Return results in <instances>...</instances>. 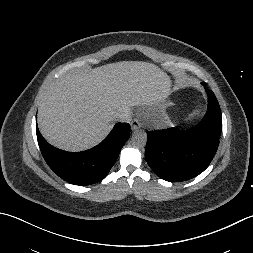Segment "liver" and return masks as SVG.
Wrapping results in <instances>:
<instances>
[{
	"label": "liver",
	"mask_w": 253,
	"mask_h": 253,
	"mask_svg": "<svg viewBox=\"0 0 253 253\" xmlns=\"http://www.w3.org/2000/svg\"><path fill=\"white\" fill-rule=\"evenodd\" d=\"M171 84L158 66L142 61L71 70L44 94L38 109L39 130L60 149H90L110 133L117 113L164 100Z\"/></svg>",
	"instance_id": "obj_1"
}]
</instances>
